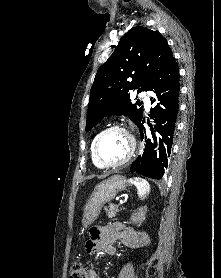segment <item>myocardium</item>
Here are the masks:
<instances>
[{"label":"myocardium","instance_id":"obj_1","mask_svg":"<svg viewBox=\"0 0 221 278\" xmlns=\"http://www.w3.org/2000/svg\"><path fill=\"white\" fill-rule=\"evenodd\" d=\"M112 131H119V132L124 133L130 141V149H129V152H128L127 156L123 160H121L120 162L115 163V164H106L100 159L99 153H98V148H99V144H100L101 139L107 133L112 132ZM136 145H137V143H136V139H135L134 135L127 128H125L123 126H119V125H113V126H110L106 129H104L103 131H101L97 135V137L94 141V145H93V156H94L95 161L97 162V164L101 168L117 169V168H120V167L124 166L125 164H127L132 159V157L134 156L135 151H136Z\"/></svg>","mask_w":221,"mask_h":278}]
</instances>
